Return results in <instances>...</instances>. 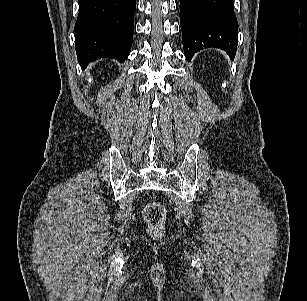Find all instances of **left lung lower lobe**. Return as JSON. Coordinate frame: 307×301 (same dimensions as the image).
<instances>
[{"label": "left lung lower lobe", "instance_id": "left-lung-lower-lobe-1", "mask_svg": "<svg viewBox=\"0 0 307 301\" xmlns=\"http://www.w3.org/2000/svg\"><path fill=\"white\" fill-rule=\"evenodd\" d=\"M180 26L185 57L190 61L201 49L214 47L234 58L238 22L233 0H181Z\"/></svg>", "mask_w": 307, "mask_h": 301}]
</instances>
